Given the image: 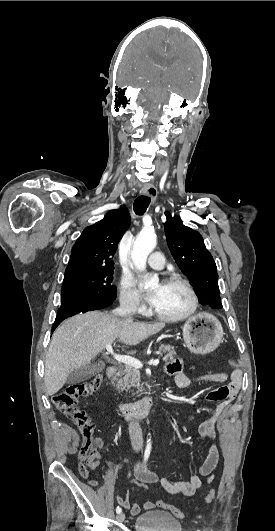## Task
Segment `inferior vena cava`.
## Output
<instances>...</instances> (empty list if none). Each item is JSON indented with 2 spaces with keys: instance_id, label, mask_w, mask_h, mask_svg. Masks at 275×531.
<instances>
[{
  "instance_id": "1",
  "label": "inferior vena cava",
  "mask_w": 275,
  "mask_h": 531,
  "mask_svg": "<svg viewBox=\"0 0 275 531\" xmlns=\"http://www.w3.org/2000/svg\"><path fill=\"white\" fill-rule=\"evenodd\" d=\"M114 315H119V317H127L125 307H119L113 311ZM129 437L133 449H142L143 447V433L139 425V421H131L128 425Z\"/></svg>"
}]
</instances>
